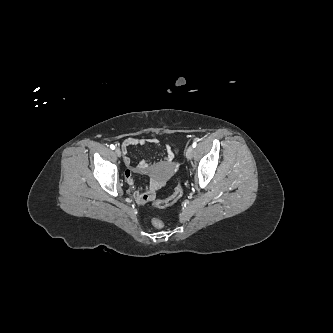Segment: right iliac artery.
<instances>
[{
  "instance_id": "1",
  "label": "right iliac artery",
  "mask_w": 333,
  "mask_h": 333,
  "mask_svg": "<svg viewBox=\"0 0 333 333\" xmlns=\"http://www.w3.org/2000/svg\"><path fill=\"white\" fill-rule=\"evenodd\" d=\"M110 148L114 150L115 146L112 144V145H110Z\"/></svg>"
}]
</instances>
